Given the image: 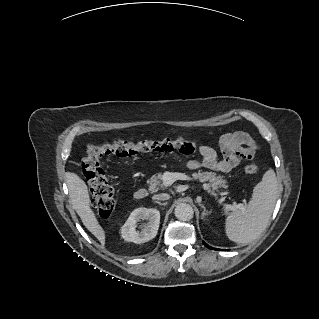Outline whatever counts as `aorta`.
I'll use <instances>...</instances> for the list:
<instances>
[{"mask_svg":"<svg viewBox=\"0 0 319 319\" xmlns=\"http://www.w3.org/2000/svg\"><path fill=\"white\" fill-rule=\"evenodd\" d=\"M175 216L180 221H189L194 216V211L191 205L180 203L175 208Z\"/></svg>","mask_w":319,"mask_h":319,"instance_id":"aorta-1","label":"aorta"}]
</instances>
